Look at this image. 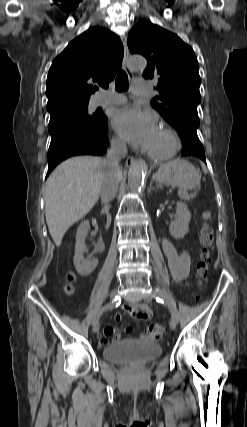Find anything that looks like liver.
<instances>
[{
	"label": "liver",
	"instance_id": "obj_1",
	"mask_svg": "<svg viewBox=\"0 0 247 427\" xmlns=\"http://www.w3.org/2000/svg\"><path fill=\"white\" fill-rule=\"evenodd\" d=\"M106 170L105 160L100 157L77 156L62 162L49 176L45 217L56 246L61 245L67 230L97 203Z\"/></svg>",
	"mask_w": 247,
	"mask_h": 427
}]
</instances>
